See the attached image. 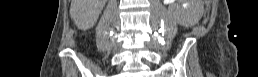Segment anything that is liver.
I'll use <instances>...</instances> for the list:
<instances>
[{
  "mask_svg": "<svg viewBox=\"0 0 258 77\" xmlns=\"http://www.w3.org/2000/svg\"><path fill=\"white\" fill-rule=\"evenodd\" d=\"M91 1L92 0L71 1L70 13L78 26L79 23L83 26L88 25L90 23L92 13L89 11L87 4Z\"/></svg>",
  "mask_w": 258,
  "mask_h": 77,
  "instance_id": "obj_1",
  "label": "liver"
}]
</instances>
